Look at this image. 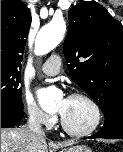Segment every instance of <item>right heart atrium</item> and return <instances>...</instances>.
I'll use <instances>...</instances> for the list:
<instances>
[{
    "mask_svg": "<svg viewBox=\"0 0 123 152\" xmlns=\"http://www.w3.org/2000/svg\"><path fill=\"white\" fill-rule=\"evenodd\" d=\"M27 117L34 123L49 127L56 121V117L43 111L31 98L26 96L23 100Z\"/></svg>",
    "mask_w": 123,
    "mask_h": 152,
    "instance_id": "obj_1",
    "label": "right heart atrium"
}]
</instances>
